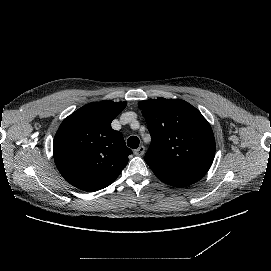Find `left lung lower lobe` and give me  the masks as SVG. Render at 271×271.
<instances>
[{
  "label": "left lung lower lobe",
  "instance_id": "1",
  "mask_svg": "<svg viewBox=\"0 0 271 271\" xmlns=\"http://www.w3.org/2000/svg\"><path fill=\"white\" fill-rule=\"evenodd\" d=\"M145 161L158 179L174 187L189 186L199 181L205 175L201 171L168 166L150 159H145Z\"/></svg>",
  "mask_w": 271,
  "mask_h": 271
}]
</instances>
